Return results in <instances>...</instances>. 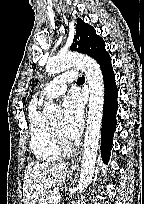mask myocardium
<instances>
[{"instance_id": "f54148a6", "label": "myocardium", "mask_w": 144, "mask_h": 204, "mask_svg": "<svg viewBox=\"0 0 144 204\" xmlns=\"http://www.w3.org/2000/svg\"><path fill=\"white\" fill-rule=\"evenodd\" d=\"M54 140L61 152H69L72 149V144L65 138V136L55 129L52 125L50 126Z\"/></svg>"}]
</instances>
